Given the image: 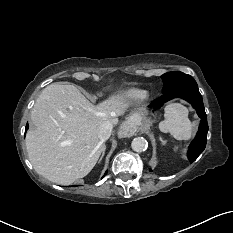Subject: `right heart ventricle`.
Instances as JSON below:
<instances>
[{"instance_id":"right-heart-ventricle-1","label":"right heart ventricle","mask_w":233,"mask_h":233,"mask_svg":"<svg viewBox=\"0 0 233 233\" xmlns=\"http://www.w3.org/2000/svg\"><path fill=\"white\" fill-rule=\"evenodd\" d=\"M127 96L131 99H139L142 97V93L136 89H131L127 92Z\"/></svg>"}]
</instances>
